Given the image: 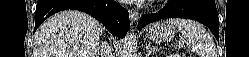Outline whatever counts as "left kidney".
<instances>
[{
	"label": "left kidney",
	"instance_id": "obj_1",
	"mask_svg": "<svg viewBox=\"0 0 249 57\" xmlns=\"http://www.w3.org/2000/svg\"><path fill=\"white\" fill-rule=\"evenodd\" d=\"M167 57H180V55H178V54H171V55H169Z\"/></svg>",
	"mask_w": 249,
	"mask_h": 57
}]
</instances>
